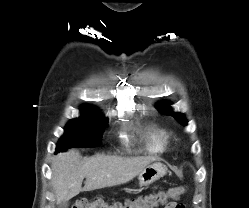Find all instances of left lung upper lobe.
Segmentation results:
<instances>
[{"mask_svg": "<svg viewBox=\"0 0 249 208\" xmlns=\"http://www.w3.org/2000/svg\"><path fill=\"white\" fill-rule=\"evenodd\" d=\"M168 103H159L158 104V108L163 111L164 113H167L168 115H171L172 117H174L179 123L186 125L187 121L185 119V117L180 114V113H173L171 112V109L169 108Z\"/></svg>", "mask_w": 249, "mask_h": 208, "instance_id": "1", "label": "left lung upper lobe"}]
</instances>
